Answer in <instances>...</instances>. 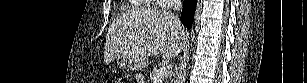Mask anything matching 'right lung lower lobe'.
<instances>
[{
    "label": "right lung lower lobe",
    "mask_w": 307,
    "mask_h": 83,
    "mask_svg": "<svg viewBox=\"0 0 307 83\" xmlns=\"http://www.w3.org/2000/svg\"><path fill=\"white\" fill-rule=\"evenodd\" d=\"M196 4L197 0H184L181 21L188 29L192 26Z\"/></svg>",
    "instance_id": "right-lung-lower-lobe-1"
}]
</instances>
